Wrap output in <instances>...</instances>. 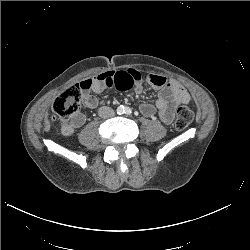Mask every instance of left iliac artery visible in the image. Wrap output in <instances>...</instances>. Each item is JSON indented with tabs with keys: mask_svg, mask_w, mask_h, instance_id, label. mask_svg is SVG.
<instances>
[{
	"mask_svg": "<svg viewBox=\"0 0 250 250\" xmlns=\"http://www.w3.org/2000/svg\"><path fill=\"white\" fill-rule=\"evenodd\" d=\"M124 113H125L126 115H130V114H132V110H131L129 107H126V108L124 109Z\"/></svg>",
	"mask_w": 250,
	"mask_h": 250,
	"instance_id": "obj_1",
	"label": "left iliac artery"
}]
</instances>
